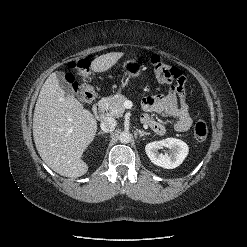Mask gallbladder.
Wrapping results in <instances>:
<instances>
[{
  "instance_id": "bac80fb5",
  "label": "gallbladder",
  "mask_w": 247,
  "mask_h": 247,
  "mask_svg": "<svg viewBox=\"0 0 247 247\" xmlns=\"http://www.w3.org/2000/svg\"><path fill=\"white\" fill-rule=\"evenodd\" d=\"M56 76L58 78L59 81V86L60 88L68 95L70 96H74V91L71 87V85L66 81L65 79V74L62 72H57Z\"/></svg>"
}]
</instances>
